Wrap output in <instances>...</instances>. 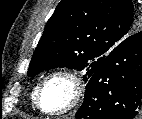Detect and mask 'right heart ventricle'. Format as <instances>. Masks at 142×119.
<instances>
[{"label":"right heart ventricle","mask_w":142,"mask_h":119,"mask_svg":"<svg viewBox=\"0 0 142 119\" xmlns=\"http://www.w3.org/2000/svg\"><path fill=\"white\" fill-rule=\"evenodd\" d=\"M37 89H38V86H35L31 92V100L32 102H35V95H36V92H37Z\"/></svg>","instance_id":"e07e8e85"}]
</instances>
